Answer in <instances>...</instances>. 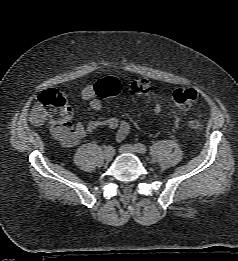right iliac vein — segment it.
Wrapping results in <instances>:
<instances>
[{"instance_id": "1", "label": "right iliac vein", "mask_w": 238, "mask_h": 261, "mask_svg": "<svg viewBox=\"0 0 238 261\" xmlns=\"http://www.w3.org/2000/svg\"><path fill=\"white\" fill-rule=\"evenodd\" d=\"M114 155H115V151L113 150L112 152H107V150H105V152H104V157H105V159L107 160V161H111L112 160V158L114 157Z\"/></svg>"}]
</instances>
